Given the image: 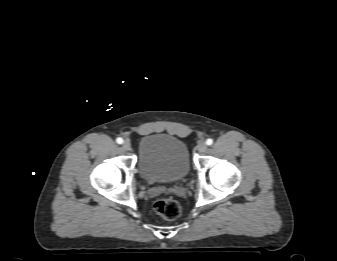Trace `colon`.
Here are the masks:
<instances>
[{"label":"colon","mask_w":337,"mask_h":261,"mask_svg":"<svg viewBox=\"0 0 337 261\" xmlns=\"http://www.w3.org/2000/svg\"><path fill=\"white\" fill-rule=\"evenodd\" d=\"M153 209L158 216L167 220L176 219L180 214L178 202L167 197L157 199L153 204Z\"/></svg>","instance_id":"obj_1"}]
</instances>
